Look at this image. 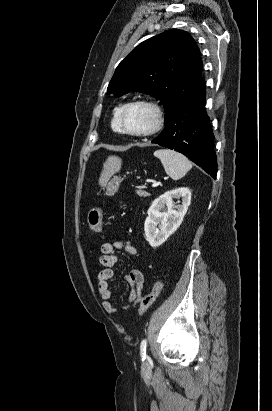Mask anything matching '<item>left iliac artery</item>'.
<instances>
[{
    "instance_id": "44dca946",
    "label": "left iliac artery",
    "mask_w": 272,
    "mask_h": 411,
    "mask_svg": "<svg viewBox=\"0 0 272 411\" xmlns=\"http://www.w3.org/2000/svg\"><path fill=\"white\" fill-rule=\"evenodd\" d=\"M146 346H147V340L143 339L140 344V354H141L142 361H144L147 357L146 356Z\"/></svg>"
}]
</instances>
